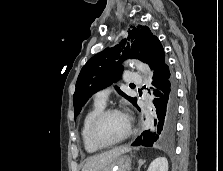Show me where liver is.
<instances>
[{"instance_id":"obj_1","label":"liver","mask_w":223,"mask_h":171,"mask_svg":"<svg viewBox=\"0 0 223 171\" xmlns=\"http://www.w3.org/2000/svg\"><path fill=\"white\" fill-rule=\"evenodd\" d=\"M126 146L117 147L107 152L88 158L82 168V171H101L103 168L113 162L119 155L130 151Z\"/></svg>"}]
</instances>
